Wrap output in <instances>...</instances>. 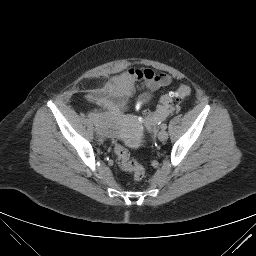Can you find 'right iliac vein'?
Masks as SVG:
<instances>
[{"instance_id": "63e3f726", "label": "right iliac vein", "mask_w": 256, "mask_h": 256, "mask_svg": "<svg viewBox=\"0 0 256 256\" xmlns=\"http://www.w3.org/2000/svg\"><path fill=\"white\" fill-rule=\"evenodd\" d=\"M92 125H93L94 127H96V131H97L99 134H102V133H103V130H102L101 126H98V125H99V122H98L97 120H94V121L92 122Z\"/></svg>"}]
</instances>
